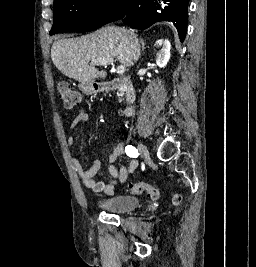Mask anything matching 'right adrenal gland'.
I'll return each mask as SVG.
<instances>
[{"label": "right adrenal gland", "mask_w": 256, "mask_h": 267, "mask_svg": "<svg viewBox=\"0 0 256 267\" xmlns=\"http://www.w3.org/2000/svg\"><path fill=\"white\" fill-rule=\"evenodd\" d=\"M140 44H141L142 52H144V50H145V44H144L143 38H141Z\"/></svg>", "instance_id": "obj_1"}]
</instances>
